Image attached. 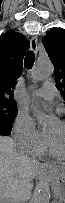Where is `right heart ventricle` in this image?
I'll return each mask as SVG.
<instances>
[{
	"label": "right heart ventricle",
	"instance_id": "right-heart-ventricle-1",
	"mask_svg": "<svg viewBox=\"0 0 65 203\" xmlns=\"http://www.w3.org/2000/svg\"><path fill=\"white\" fill-rule=\"evenodd\" d=\"M48 148L46 146V143L43 144L42 146H40L39 148H37L36 150H34L33 152H31V154L33 156H44L46 154H48Z\"/></svg>",
	"mask_w": 65,
	"mask_h": 203
}]
</instances>
